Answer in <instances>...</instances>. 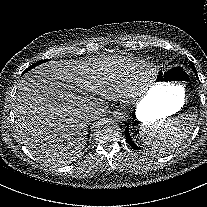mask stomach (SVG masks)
I'll return each mask as SVG.
<instances>
[{"label": "stomach", "mask_w": 207, "mask_h": 207, "mask_svg": "<svg viewBox=\"0 0 207 207\" xmlns=\"http://www.w3.org/2000/svg\"><path fill=\"white\" fill-rule=\"evenodd\" d=\"M188 79V74L180 65L158 70L155 83L137 104V119L142 124H152L178 112L185 102Z\"/></svg>", "instance_id": "obj_1"}]
</instances>
